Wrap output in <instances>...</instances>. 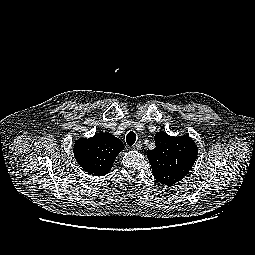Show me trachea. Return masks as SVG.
<instances>
[{"label": "trachea", "mask_w": 255, "mask_h": 255, "mask_svg": "<svg viewBox=\"0 0 255 255\" xmlns=\"http://www.w3.org/2000/svg\"><path fill=\"white\" fill-rule=\"evenodd\" d=\"M136 141V134L132 131H130L126 136V142L129 146L134 145Z\"/></svg>", "instance_id": "1"}]
</instances>
